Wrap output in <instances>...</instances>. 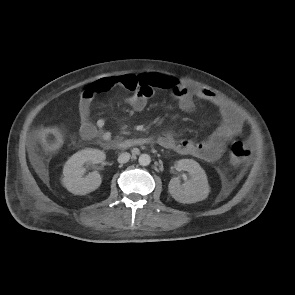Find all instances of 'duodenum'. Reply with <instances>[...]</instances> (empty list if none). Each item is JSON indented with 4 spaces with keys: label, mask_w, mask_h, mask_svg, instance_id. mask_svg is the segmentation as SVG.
Here are the masks:
<instances>
[{
    "label": "duodenum",
    "mask_w": 295,
    "mask_h": 295,
    "mask_svg": "<svg viewBox=\"0 0 295 295\" xmlns=\"http://www.w3.org/2000/svg\"><path fill=\"white\" fill-rule=\"evenodd\" d=\"M149 143L148 139H128V140H110L104 143V147L109 150L129 149Z\"/></svg>",
    "instance_id": "410a0bca"
}]
</instances>
